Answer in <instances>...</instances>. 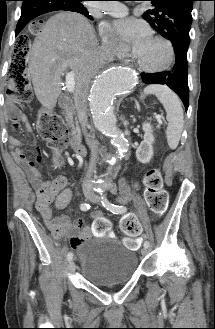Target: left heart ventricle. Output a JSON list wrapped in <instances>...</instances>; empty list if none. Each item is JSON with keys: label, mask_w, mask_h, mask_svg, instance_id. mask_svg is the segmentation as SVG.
Returning <instances> with one entry per match:
<instances>
[{"label": "left heart ventricle", "mask_w": 215, "mask_h": 329, "mask_svg": "<svg viewBox=\"0 0 215 329\" xmlns=\"http://www.w3.org/2000/svg\"><path fill=\"white\" fill-rule=\"evenodd\" d=\"M136 56L143 65L155 68L167 61L168 50L161 42L151 39L140 51L136 52Z\"/></svg>", "instance_id": "obj_1"}]
</instances>
